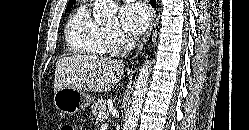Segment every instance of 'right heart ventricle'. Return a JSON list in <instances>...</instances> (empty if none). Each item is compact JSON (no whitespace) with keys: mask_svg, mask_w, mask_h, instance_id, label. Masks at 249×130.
I'll list each match as a JSON object with an SVG mask.
<instances>
[{"mask_svg":"<svg viewBox=\"0 0 249 130\" xmlns=\"http://www.w3.org/2000/svg\"><path fill=\"white\" fill-rule=\"evenodd\" d=\"M106 28L97 22L82 2L70 15L65 40L70 52L74 54L102 56L108 53Z\"/></svg>","mask_w":249,"mask_h":130,"instance_id":"e07e8e85","label":"right heart ventricle"}]
</instances>
